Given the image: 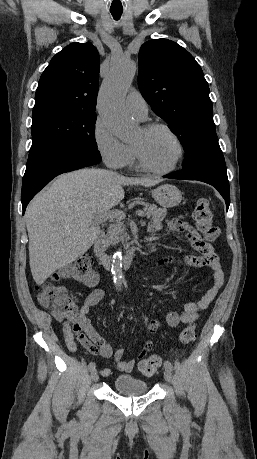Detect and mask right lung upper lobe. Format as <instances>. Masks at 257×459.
<instances>
[{"label":"right lung upper lobe","mask_w":257,"mask_h":459,"mask_svg":"<svg viewBox=\"0 0 257 459\" xmlns=\"http://www.w3.org/2000/svg\"><path fill=\"white\" fill-rule=\"evenodd\" d=\"M100 57L91 43L74 42L57 53L44 70L33 112L72 108L95 113Z\"/></svg>","instance_id":"1"}]
</instances>
